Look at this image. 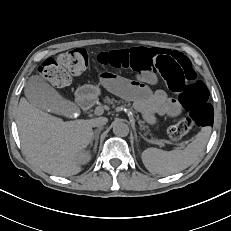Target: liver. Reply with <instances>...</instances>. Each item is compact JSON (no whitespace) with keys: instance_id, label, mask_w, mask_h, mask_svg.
I'll return each instance as SVG.
<instances>
[{"instance_id":"1","label":"liver","mask_w":231,"mask_h":231,"mask_svg":"<svg viewBox=\"0 0 231 231\" xmlns=\"http://www.w3.org/2000/svg\"><path fill=\"white\" fill-rule=\"evenodd\" d=\"M93 120L64 122L25 98L20 99L16 115L21 145L29 160L49 174L64 177L81 171L79 156L93 138Z\"/></svg>"}]
</instances>
